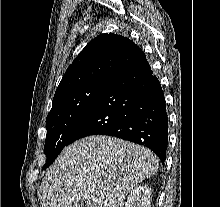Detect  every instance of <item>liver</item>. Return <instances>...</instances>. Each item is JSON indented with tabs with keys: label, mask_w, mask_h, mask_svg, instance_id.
<instances>
[{
	"label": "liver",
	"mask_w": 220,
	"mask_h": 207,
	"mask_svg": "<svg viewBox=\"0 0 220 207\" xmlns=\"http://www.w3.org/2000/svg\"><path fill=\"white\" fill-rule=\"evenodd\" d=\"M158 168L159 159L144 146L103 135L82 138L46 172L43 207H123L135 185Z\"/></svg>",
	"instance_id": "1"
}]
</instances>
